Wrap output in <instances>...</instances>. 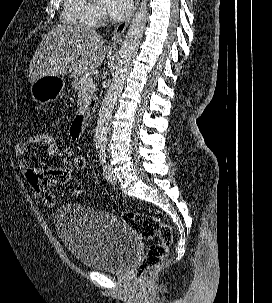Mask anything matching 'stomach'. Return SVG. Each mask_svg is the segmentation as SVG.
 Listing matches in <instances>:
<instances>
[{
	"mask_svg": "<svg viewBox=\"0 0 272 303\" xmlns=\"http://www.w3.org/2000/svg\"><path fill=\"white\" fill-rule=\"evenodd\" d=\"M63 77H42L32 83L30 93L33 102L46 104L55 101L63 91Z\"/></svg>",
	"mask_w": 272,
	"mask_h": 303,
	"instance_id": "1",
	"label": "stomach"
}]
</instances>
